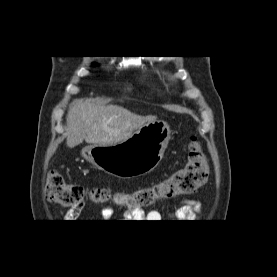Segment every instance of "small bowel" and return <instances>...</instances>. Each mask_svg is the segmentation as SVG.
<instances>
[{"instance_id":"1","label":"small bowel","mask_w":277,"mask_h":277,"mask_svg":"<svg viewBox=\"0 0 277 277\" xmlns=\"http://www.w3.org/2000/svg\"><path fill=\"white\" fill-rule=\"evenodd\" d=\"M85 202H82L72 208H70L66 213L63 214V222H74L81 214ZM201 211V204L197 200L188 199L183 201L182 205L174 210L171 217L183 222H190L195 220ZM102 216L109 219L113 216V210L111 207L104 206L102 208ZM123 218L125 220H136L137 222H160L163 219L162 214L158 210H151L148 213H143L141 211H125L123 213Z\"/></svg>"}]
</instances>
